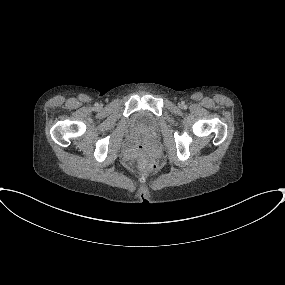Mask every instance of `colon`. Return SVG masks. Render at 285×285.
Segmentation results:
<instances>
[{
	"label": "colon",
	"instance_id": "colon-1",
	"mask_svg": "<svg viewBox=\"0 0 285 285\" xmlns=\"http://www.w3.org/2000/svg\"><path fill=\"white\" fill-rule=\"evenodd\" d=\"M131 168L142 169L145 171H155L158 168V161L148 151H141L136 160L130 162Z\"/></svg>",
	"mask_w": 285,
	"mask_h": 285
}]
</instances>
